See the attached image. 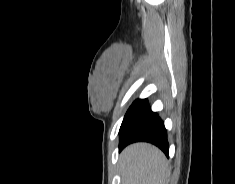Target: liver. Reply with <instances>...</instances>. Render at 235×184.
Wrapping results in <instances>:
<instances>
[{
    "label": "liver",
    "instance_id": "6515ba94",
    "mask_svg": "<svg viewBox=\"0 0 235 184\" xmlns=\"http://www.w3.org/2000/svg\"><path fill=\"white\" fill-rule=\"evenodd\" d=\"M122 184H167L170 170L167 160L158 148L151 144H131L119 158Z\"/></svg>",
    "mask_w": 235,
    "mask_h": 184
}]
</instances>
